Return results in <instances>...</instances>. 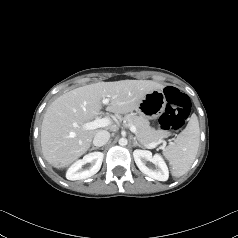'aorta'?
<instances>
[{
	"instance_id": "1",
	"label": "aorta",
	"mask_w": 238,
	"mask_h": 238,
	"mask_svg": "<svg viewBox=\"0 0 238 238\" xmlns=\"http://www.w3.org/2000/svg\"><path fill=\"white\" fill-rule=\"evenodd\" d=\"M128 143V140L126 138H120L119 139V145L120 146H126Z\"/></svg>"
}]
</instances>
